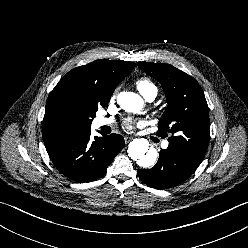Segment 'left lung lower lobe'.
I'll return each instance as SVG.
<instances>
[{
	"label": "left lung lower lobe",
	"instance_id": "0a47b994",
	"mask_svg": "<svg viewBox=\"0 0 248 248\" xmlns=\"http://www.w3.org/2000/svg\"><path fill=\"white\" fill-rule=\"evenodd\" d=\"M201 162L169 145L167 149H161L159 160L154 167L138 169L137 174L144 183L154 189H168L188 179Z\"/></svg>",
	"mask_w": 248,
	"mask_h": 248
}]
</instances>
